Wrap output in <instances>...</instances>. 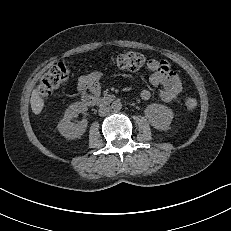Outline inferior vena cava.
Returning <instances> with one entry per match:
<instances>
[{
  "mask_svg": "<svg viewBox=\"0 0 231 231\" xmlns=\"http://www.w3.org/2000/svg\"><path fill=\"white\" fill-rule=\"evenodd\" d=\"M110 111H111L110 106L102 105L99 108V115L100 116H106L107 114H109Z\"/></svg>",
  "mask_w": 231,
  "mask_h": 231,
  "instance_id": "1",
  "label": "inferior vena cava"
}]
</instances>
